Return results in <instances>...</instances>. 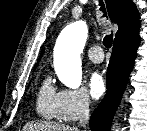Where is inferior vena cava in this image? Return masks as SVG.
Wrapping results in <instances>:
<instances>
[{"mask_svg": "<svg viewBox=\"0 0 147 131\" xmlns=\"http://www.w3.org/2000/svg\"><path fill=\"white\" fill-rule=\"evenodd\" d=\"M79 125L85 127L89 120V102L84 100L79 106Z\"/></svg>", "mask_w": 147, "mask_h": 131, "instance_id": "602c4592", "label": "inferior vena cava"}]
</instances>
